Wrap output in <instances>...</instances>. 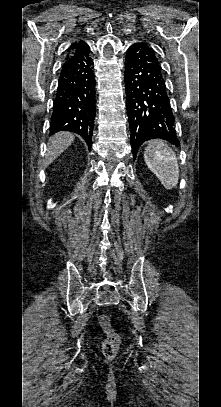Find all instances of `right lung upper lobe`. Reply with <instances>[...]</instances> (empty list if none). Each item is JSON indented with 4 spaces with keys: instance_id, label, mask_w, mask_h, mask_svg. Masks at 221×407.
<instances>
[{
    "instance_id": "obj_1",
    "label": "right lung upper lobe",
    "mask_w": 221,
    "mask_h": 407,
    "mask_svg": "<svg viewBox=\"0 0 221 407\" xmlns=\"http://www.w3.org/2000/svg\"><path fill=\"white\" fill-rule=\"evenodd\" d=\"M84 44H85V42H83V41L72 43L68 50V55L72 54L77 49H80Z\"/></svg>"
}]
</instances>
